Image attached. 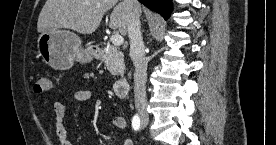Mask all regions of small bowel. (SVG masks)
<instances>
[{"label": "small bowel", "instance_id": "c3829d8e", "mask_svg": "<svg viewBox=\"0 0 276 145\" xmlns=\"http://www.w3.org/2000/svg\"><path fill=\"white\" fill-rule=\"evenodd\" d=\"M73 97L79 102H87L91 99V93L88 90L78 89L73 92ZM55 113V128L56 135L60 142V145H73L68 139V132L65 126V119L67 115V109L62 101L54 103ZM113 126L118 130H123L126 127L125 119L121 116H115L112 120ZM123 145H133L130 139H124Z\"/></svg>", "mask_w": 276, "mask_h": 145}]
</instances>
